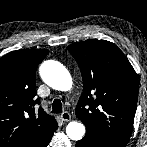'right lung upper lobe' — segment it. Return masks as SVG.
Listing matches in <instances>:
<instances>
[{"label": "right lung upper lobe", "mask_w": 147, "mask_h": 147, "mask_svg": "<svg viewBox=\"0 0 147 147\" xmlns=\"http://www.w3.org/2000/svg\"><path fill=\"white\" fill-rule=\"evenodd\" d=\"M46 49H21L0 59V147H36L57 126L35 98V73Z\"/></svg>", "instance_id": "right-lung-upper-lobe-1"}]
</instances>
